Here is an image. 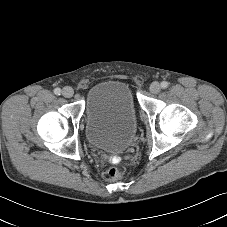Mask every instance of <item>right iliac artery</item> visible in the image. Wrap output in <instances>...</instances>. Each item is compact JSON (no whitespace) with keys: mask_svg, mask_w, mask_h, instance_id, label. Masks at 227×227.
I'll use <instances>...</instances> for the list:
<instances>
[{"mask_svg":"<svg viewBox=\"0 0 227 227\" xmlns=\"http://www.w3.org/2000/svg\"><path fill=\"white\" fill-rule=\"evenodd\" d=\"M54 93H55L56 95H60V94H61V89H60V88H55V89H54Z\"/></svg>","mask_w":227,"mask_h":227,"instance_id":"1","label":"right iliac artery"}]
</instances>
